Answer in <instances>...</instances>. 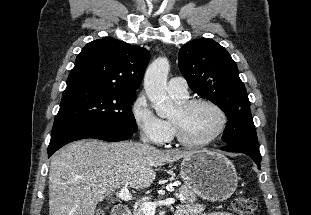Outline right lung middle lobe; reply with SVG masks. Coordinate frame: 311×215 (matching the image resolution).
Segmentation results:
<instances>
[{"mask_svg": "<svg viewBox=\"0 0 311 215\" xmlns=\"http://www.w3.org/2000/svg\"><path fill=\"white\" fill-rule=\"evenodd\" d=\"M135 92L88 84L66 87L52 135L73 130L137 131Z\"/></svg>", "mask_w": 311, "mask_h": 215, "instance_id": "right-lung-middle-lobe-1", "label": "right lung middle lobe"}]
</instances>
